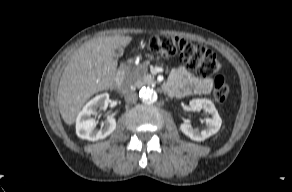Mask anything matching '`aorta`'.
<instances>
[{"label":"aorta","instance_id":"aorta-1","mask_svg":"<svg viewBox=\"0 0 292 192\" xmlns=\"http://www.w3.org/2000/svg\"><path fill=\"white\" fill-rule=\"evenodd\" d=\"M139 97L142 102L150 104L157 101V93L153 88L150 87H143L139 91Z\"/></svg>","mask_w":292,"mask_h":192}]
</instances>
